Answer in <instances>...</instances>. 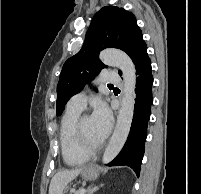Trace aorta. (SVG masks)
Returning a JSON list of instances; mask_svg holds the SVG:
<instances>
[{
	"label": "aorta",
	"instance_id": "obj_1",
	"mask_svg": "<svg viewBox=\"0 0 201 194\" xmlns=\"http://www.w3.org/2000/svg\"><path fill=\"white\" fill-rule=\"evenodd\" d=\"M99 58L104 64L118 67L122 71L124 85L115 130L102 157V162L106 164L119 154L130 132L135 104L136 69L131 58L120 50H103Z\"/></svg>",
	"mask_w": 201,
	"mask_h": 194
}]
</instances>
